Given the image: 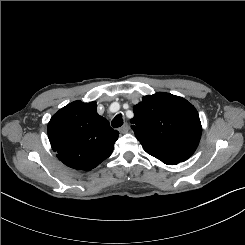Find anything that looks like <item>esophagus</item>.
Instances as JSON below:
<instances>
[{
  "label": "esophagus",
  "instance_id": "esophagus-1",
  "mask_svg": "<svg viewBox=\"0 0 245 245\" xmlns=\"http://www.w3.org/2000/svg\"><path fill=\"white\" fill-rule=\"evenodd\" d=\"M118 130L122 134L126 133L128 131V124L127 123L123 124V126H121Z\"/></svg>",
  "mask_w": 245,
  "mask_h": 245
}]
</instances>
